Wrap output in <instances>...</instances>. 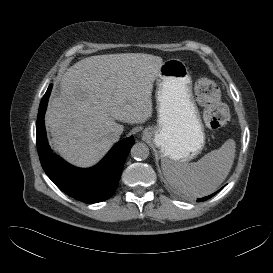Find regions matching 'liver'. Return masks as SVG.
<instances>
[{
	"label": "liver",
	"instance_id": "6515ba94",
	"mask_svg": "<svg viewBox=\"0 0 273 273\" xmlns=\"http://www.w3.org/2000/svg\"><path fill=\"white\" fill-rule=\"evenodd\" d=\"M159 56L120 53L87 57L71 66L50 100L46 121L52 143L68 162L91 167L110 150V135L152 115L153 83Z\"/></svg>",
	"mask_w": 273,
	"mask_h": 273
}]
</instances>
